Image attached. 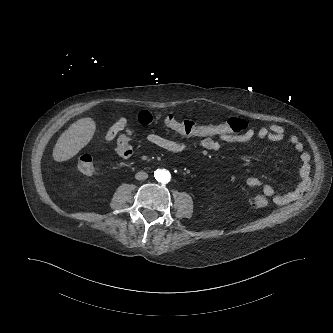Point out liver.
Returning a JSON list of instances; mask_svg holds the SVG:
<instances>
[{"label": "liver", "instance_id": "liver-1", "mask_svg": "<svg viewBox=\"0 0 333 333\" xmlns=\"http://www.w3.org/2000/svg\"><path fill=\"white\" fill-rule=\"evenodd\" d=\"M95 131L96 123L92 118L77 120L58 138L53 149V159L57 162L71 159L92 140Z\"/></svg>", "mask_w": 333, "mask_h": 333}]
</instances>
